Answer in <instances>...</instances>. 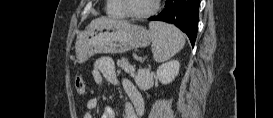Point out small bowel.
Returning a JSON list of instances; mask_svg holds the SVG:
<instances>
[{
  "instance_id": "obj_1",
  "label": "small bowel",
  "mask_w": 273,
  "mask_h": 118,
  "mask_svg": "<svg viewBox=\"0 0 273 118\" xmlns=\"http://www.w3.org/2000/svg\"><path fill=\"white\" fill-rule=\"evenodd\" d=\"M92 76L97 84L109 82L119 85L125 92L128 101L124 106V118H142L144 104L139 91L129 79L118 77L115 64L111 58L106 56L97 58L93 65ZM98 104L97 98H90L86 103L88 112L85 113L84 118H93L90 111L96 110ZM102 118H116L114 109L110 106L105 107Z\"/></svg>"
}]
</instances>
